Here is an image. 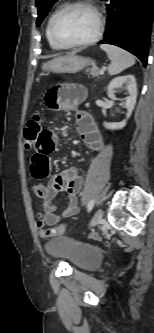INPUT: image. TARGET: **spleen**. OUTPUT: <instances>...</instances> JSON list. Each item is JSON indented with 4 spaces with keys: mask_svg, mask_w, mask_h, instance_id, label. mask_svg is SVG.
I'll list each match as a JSON object with an SVG mask.
<instances>
[{
    "mask_svg": "<svg viewBox=\"0 0 154 333\" xmlns=\"http://www.w3.org/2000/svg\"><path fill=\"white\" fill-rule=\"evenodd\" d=\"M100 48L105 51L111 63L108 67L110 75H116L135 64V58L129 52L114 45L102 44Z\"/></svg>",
    "mask_w": 154,
    "mask_h": 333,
    "instance_id": "obj_1",
    "label": "spleen"
}]
</instances>
